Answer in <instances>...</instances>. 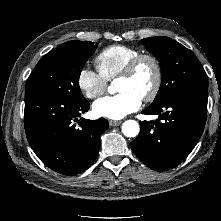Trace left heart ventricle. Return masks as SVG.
I'll list each match as a JSON object with an SVG mask.
<instances>
[{"label": "left heart ventricle", "instance_id": "left-heart-ventricle-1", "mask_svg": "<svg viewBox=\"0 0 221 221\" xmlns=\"http://www.w3.org/2000/svg\"><path fill=\"white\" fill-rule=\"evenodd\" d=\"M155 79V71L151 63L143 62L132 78H119L117 90L119 92L132 91L141 98L149 93Z\"/></svg>", "mask_w": 221, "mask_h": 221}]
</instances>
